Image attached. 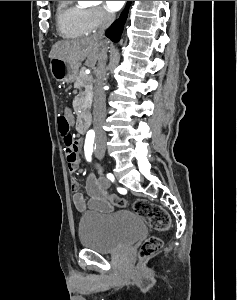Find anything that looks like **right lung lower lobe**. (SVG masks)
Here are the masks:
<instances>
[{
  "mask_svg": "<svg viewBox=\"0 0 237 300\" xmlns=\"http://www.w3.org/2000/svg\"><path fill=\"white\" fill-rule=\"evenodd\" d=\"M131 1H128L127 6H129ZM128 7L123 11L120 18L116 20L106 31V36L114 42H118L120 40V36L123 31V27L127 18Z\"/></svg>",
  "mask_w": 237,
  "mask_h": 300,
  "instance_id": "obj_1",
  "label": "right lung lower lobe"
}]
</instances>
